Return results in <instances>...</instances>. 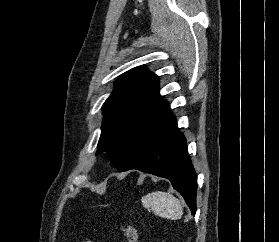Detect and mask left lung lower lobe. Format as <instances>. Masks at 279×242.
Masks as SVG:
<instances>
[{"mask_svg": "<svg viewBox=\"0 0 279 242\" xmlns=\"http://www.w3.org/2000/svg\"><path fill=\"white\" fill-rule=\"evenodd\" d=\"M187 151L186 139L176 124L144 154L131 161L124 171L138 169L169 179L195 215L197 178Z\"/></svg>", "mask_w": 279, "mask_h": 242, "instance_id": "1", "label": "left lung lower lobe"}]
</instances>
